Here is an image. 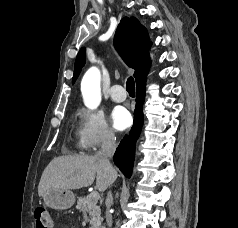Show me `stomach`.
Segmentation results:
<instances>
[{"instance_id": "stomach-1", "label": "stomach", "mask_w": 238, "mask_h": 228, "mask_svg": "<svg viewBox=\"0 0 238 228\" xmlns=\"http://www.w3.org/2000/svg\"><path fill=\"white\" fill-rule=\"evenodd\" d=\"M44 203L56 210H64L73 206L75 195L70 190L49 189L43 196Z\"/></svg>"}]
</instances>
